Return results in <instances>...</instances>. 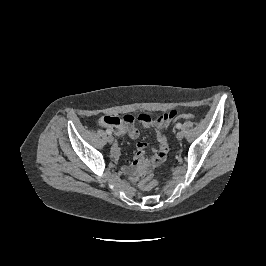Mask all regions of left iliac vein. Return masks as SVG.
Masks as SVG:
<instances>
[{"label":"left iliac vein","instance_id":"left-iliac-vein-1","mask_svg":"<svg viewBox=\"0 0 266 266\" xmlns=\"http://www.w3.org/2000/svg\"><path fill=\"white\" fill-rule=\"evenodd\" d=\"M176 138L178 139V140H182L183 139V133L182 132H177V134H176Z\"/></svg>","mask_w":266,"mask_h":266}]
</instances>
